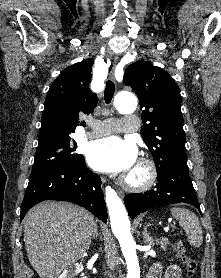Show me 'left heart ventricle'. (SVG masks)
<instances>
[{"mask_svg": "<svg viewBox=\"0 0 221 278\" xmlns=\"http://www.w3.org/2000/svg\"><path fill=\"white\" fill-rule=\"evenodd\" d=\"M130 178L134 179V180H138L140 178H142L143 176V171L137 167L136 165L128 172L127 174Z\"/></svg>", "mask_w": 221, "mask_h": 278, "instance_id": "b2bd125f", "label": "left heart ventricle"}]
</instances>
